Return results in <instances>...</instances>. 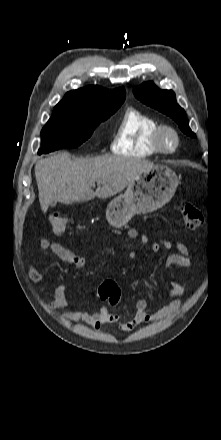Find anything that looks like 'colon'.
<instances>
[{
  "label": "colon",
  "mask_w": 221,
  "mask_h": 440,
  "mask_svg": "<svg viewBox=\"0 0 221 440\" xmlns=\"http://www.w3.org/2000/svg\"><path fill=\"white\" fill-rule=\"evenodd\" d=\"M181 213L185 227L195 229L202 225L203 214L197 207L191 204H186L182 207ZM49 221L53 231L56 234H62L67 230L71 219L68 214L61 211H55L50 214ZM97 292L101 299L109 301L107 306L110 309H113L116 306L115 302L120 296V288L117 283L114 281H105L99 285Z\"/></svg>",
  "instance_id": "5ec220e1"
}]
</instances>
